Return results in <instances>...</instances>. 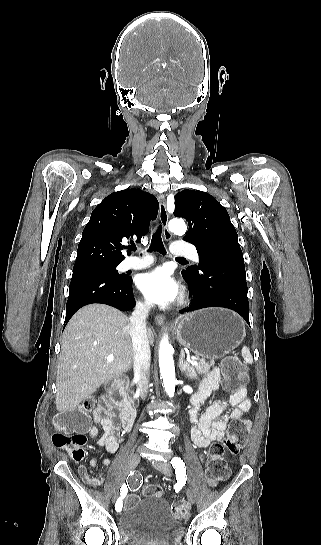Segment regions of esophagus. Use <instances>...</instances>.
<instances>
[{
    "mask_svg": "<svg viewBox=\"0 0 321 545\" xmlns=\"http://www.w3.org/2000/svg\"><path fill=\"white\" fill-rule=\"evenodd\" d=\"M158 200H159V218H160L161 225L163 227L164 238L165 240L169 241L172 238V234L168 229L169 215L167 213L164 196L160 195ZM164 320L165 318L162 315H157L155 317L156 325H163Z\"/></svg>",
    "mask_w": 321,
    "mask_h": 545,
    "instance_id": "obj_1",
    "label": "esophagus"
}]
</instances>
